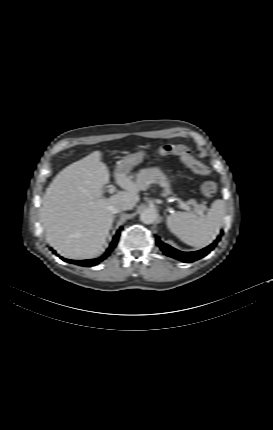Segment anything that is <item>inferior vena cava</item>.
<instances>
[{
	"instance_id": "obj_1",
	"label": "inferior vena cava",
	"mask_w": 273,
	"mask_h": 430,
	"mask_svg": "<svg viewBox=\"0 0 273 430\" xmlns=\"http://www.w3.org/2000/svg\"><path fill=\"white\" fill-rule=\"evenodd\" d=\"M127 205L123 202H116L115 204L109 207V210L112 214H116L122 211L127 210Z\"/></svg>"
}]
</instances>
